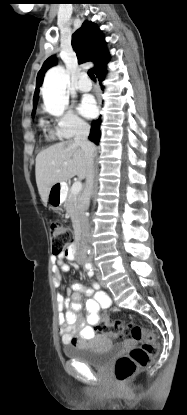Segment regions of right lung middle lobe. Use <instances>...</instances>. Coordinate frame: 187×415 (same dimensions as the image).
I'll return each instance as SVG.
<instances>
[{
  "instance_id": "right-lung-middle-lobe-1",
  "label": "right lung middle lobe",
  "mask_w": 187,
  "mask_h": 415,
  "mask_svg": "<svg viewBox=\"0 0 187 415\" xmlns=\"http://www.w3.org/2000/svg\"><path fill=\"white\" fill-rule=\"evenodd\" d=\"M34 114H35V110H33V112H32V115L34 116Z\"/></svg>"
}]
</instances>
